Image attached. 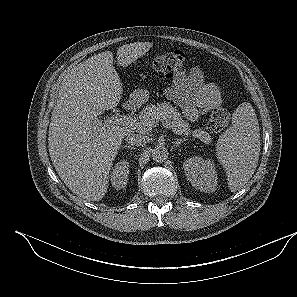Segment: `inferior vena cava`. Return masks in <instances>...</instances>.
<instances>
[{"label": "inferior vena cava", "instance_id": "1", "mask_svg": "<svg viewBox=\"0 0 297 297\" xmlns=\"http://www.w3.org/2000/svg\"><path fill=\"white\" fill-rule=\"evenodd\" d=\"M126 142L132 146H143L149 141V137L141 134H128L126 137Z\"/></svg>", "mask_w": 297, "mask_h": 297}]
</instances>
